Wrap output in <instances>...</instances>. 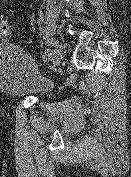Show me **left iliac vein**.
I'll list each match as a JSON object with an SVG mask.
<instances>
[{"label": "left iliac vein", "instance_id": "left-iliac-vein-1", "mask_svg": "<svg viewBox=\"0 0 131 177\" xmlns=\"http://www.w3.org/2000/svg\"><path fill=\"white\" fill-rule=\"evenodd\" d=\"M62 60V52L59 45H56L52 52V66L57 67Z\"/></svg>", "mask_w": 131, "mask_h": 177}]
</instances>
